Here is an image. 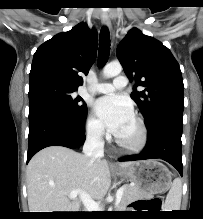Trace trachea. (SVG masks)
<instances>
[{
	"label": "trachea",
	"instance_id": "obj_1",
	"mask_svg": "<svg viewBox=\"0 0 203 219\" xmlns=\"http://www.w3.org/2000/svg\"><path fill=\"white\" fill-rule=\"evenodd\" d=\"M110 53V34L107 27H103L99 36V67H103L107 62Z\"/></svg>",
	"mask_w": 203,
	"mask_h": 219
}]
</instances>
